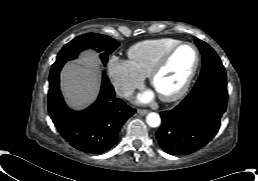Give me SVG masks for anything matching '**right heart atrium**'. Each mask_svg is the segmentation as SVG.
<instances>
[{"label":"right heart atrium","mask_w":258,"mask_h":181,"mask_svg":"<svg viewBox=\"0 0 258 181\" xmlns=\"http://www.w3.org/2000/svg\"><path fill=\"white\" fill-rule=\"evenodd\" d=\"M107 70L115 91L124 98L129 97L144 81V77L138 74L128 61L116 57L110 58Z\"/></svg>","instance_id":"right-heart-atrium-1"}]
</instances>
